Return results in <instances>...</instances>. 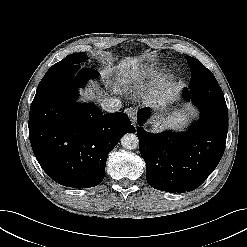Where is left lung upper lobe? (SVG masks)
<instances>
[{
    "mask_svg": "<svg viewBox=\"0 0 247 247\" xmlns=\"http://www.w3.org/2000/svg\"><path fill=\"white\" fill-rule=\"evenodd\" d=\"M186 60L188 62V65L191 69V79L194 78L195 76L199 75L202 68H205V66L197 59L186 56Z\"/></svg>",
    "mask_w": 247,
    "mask_h": 247,
    "instance_id": "obj_1",
    "label": "left lung upper lobe"
}]
</instances>
